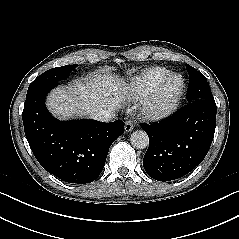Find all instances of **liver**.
<instances>
[{"label":"liver","instance_id":"obj_1","mask_svg":"<svg viewBox=\"0 0 239 239\" xmlns=\"http://www.w3.org/2000/svg\"><path fill=\"white\" fill-rule=\"evenodd\" d=\"M127 87L122 78L108 74L95 75L84 82L75 81L57 88L48 97L47 107L60 118L93 117L99 110L115 111L127 100Z\"/></svg>","mask_w":239,"mask_h":239}]
</instances>
